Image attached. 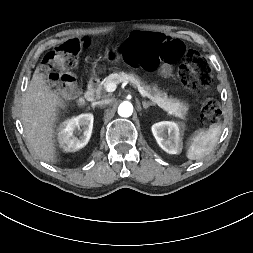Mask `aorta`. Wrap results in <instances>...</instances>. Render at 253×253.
<instances>
[{"label":"aorta","mask_w":253,"mask_h":253,"mask_svg":"<svg viewBox=\"0 0 253 253\" xmlns=\"http://www.w3.org/2000/svg\"><path fill=\"white\" fill-rule=\"evenodd\" d=\"M133 113V105L130 102H122L118 107V114L121 117H129Z\"/></svg>","instance_id":"obj_1"}]
</instances>
